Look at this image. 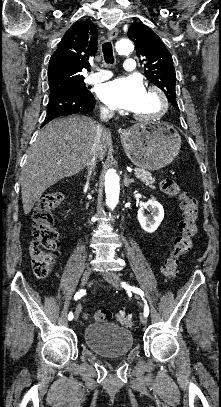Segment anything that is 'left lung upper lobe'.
Segmentation results:
<instances>
[{"label":"left lung upper lobe","instance_id":"1","mask_svg":"<svg viewBox=\"0 0 221 407\" xmlns=\"http://www.w3.org/2000/svg\"><path fill=\"white\" fill-rule=\"evenodd\" d=\"M128 37L135 42L137 56L145 62L147 79L166 94L169 102L177 109L176 74L170 52L161 39L144 24H132Z\"/></svg>","mask_w":221,"mask_h":407}]
</instances>
